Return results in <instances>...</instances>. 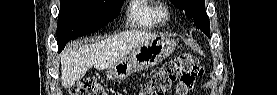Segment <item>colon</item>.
<instances>
[{
  "label": "colon",
  "instance_id": "colon-1",
  "mask_svg": "<svg viewBox=\"0 0 277 95\" xmlns=\"http://www.w3.org/2000/svg\"><path fill=\"white\" fill-rule=\"evenodd\" d=\"M201 60L190 53L179 54L167 62L151 77L140 95H164L171 86L182 79L202 77ZM71 95H105L107 89L92 78L82 79L70 89Z\"/></svg>",
  "mask_w": 277,
  "mask_h": 95
}]
</instances>
